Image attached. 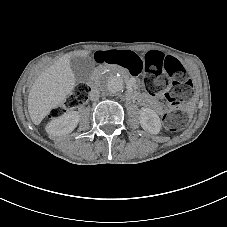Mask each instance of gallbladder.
I'll return each instance as SVG.
<instances>
[{
  "instance_id": "bac80fb5",
  "label": "gallbladder",
  "mask_w": 227,
  "mask_h": 227,
  "mask_svg": "<svg viewBox=\"0 0 227 227\" xmlns=\"http://www.w3.org/2000/svg\"><path fill=\"white\" fill-rule=\"evenodd\" d=\"M95 62L88 55H75L73 54L70 57V66L73 71V75L75 77L76 82L85 83L88 81Z\"/></svg>"
}]
</instances>
